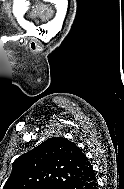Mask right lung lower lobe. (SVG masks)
Wrapping results in <instances>:
<instances>
[{
    "label": "right lung lower lobe",
    "instance_id": "right-lung-lower-lobe-1",
    "mask_svg": "<svg viewBox=\"0 0 124 189\" xmlns=\"http://www.w3.org/2000/svg\"><path fill=\"white\" fill-rule=\"evenodd\" d=\"M97 187L96 176L90 166L81 177L66 184L63 189H97Z\"/></svg>",
    "mask_w": 124,
    "mask_h": 189
}]
</instances>
